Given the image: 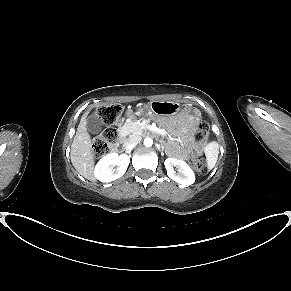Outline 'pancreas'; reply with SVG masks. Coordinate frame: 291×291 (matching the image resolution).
I'll return each mask as SVG.
<instances>
[{"instance_id": "1", "label": "pancreas", "mask_w": 291, "mask_h": 291, "mask_svg": "<svg viewBox=\"0 0 291 291\" xmlns=\"http://www.w3.org/2000/svg\"><path fill=\"white\" fill-rule=\"evenodd\" d=\"M130 128L131 131L137 135H140L144 129L143 125L139 121L131 122Z\"/></svg>"}]
</instances>
